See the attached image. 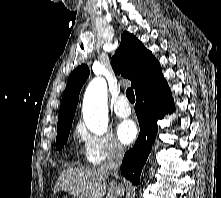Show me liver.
<instances>
[{"label":"liver","mask_w":221,"mask_h":198,"mask_svg":"<svg viewBox=\"0 0 221 198\" xmlns=\"http://www.w3.org/2000/svg\"><path fill=\"white\" fill-rule=\"evenodd\" d=\"M110 173L103 167L92 169H66L54 187V193L59 190L68 192L76 198H118L124 195L125 189L121 183L111 181L107 184Z\"/></svg>","instance_id":"6515ba94"}]
</instances>
